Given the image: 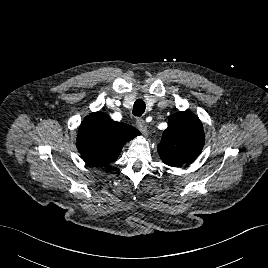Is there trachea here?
Segmentation results:
<instances>
[{
    "label": "trachea",
    "instance_id": "obj_1",
    "mask_svg": "<svg viewBox=\"0 0 268 268\" xmlns=\"http://www.w3.org/2000/svg\"><path fill=\"white\" fill-rule=\"evenodd\" d=\"M146 109L145 102L142 99H137L133 105V115L140 117Z\"/></svg>",
    "mask_w": 268,
    "mask_h": 268
}]
</instances>
